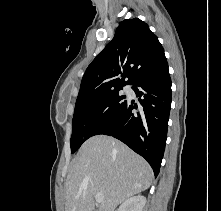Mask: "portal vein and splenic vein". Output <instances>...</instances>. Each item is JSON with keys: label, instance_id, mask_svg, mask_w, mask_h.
Wrapping results in <instances>:
<instances>
[{"label": "portal vein and splenic vein", "instance_id": "portal-vein-and-splenic-vein-1", "mask_svg": "<svg viewBox=\"0 0 221 211\" xmlns=\"http://www.w3.org/2000/svg\"><path fill=\"white\" fill-rule=\"evenodd\" d=\"M95 200L97 203H102L104 201V196L101 193L95 195Z\"/></svg>", "mask_w": 221, "mask_h": 211}]
</instances>
